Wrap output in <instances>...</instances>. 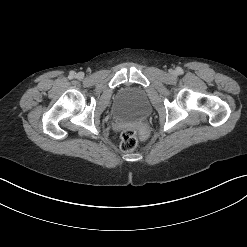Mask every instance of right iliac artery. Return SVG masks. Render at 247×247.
Here are the masks:
<instances>
[{
	"label": "right iliac artery",
	"mask_w": 247,
	"mask_h": 247,
	"mask_svg": "<svg viewBox=\"0 0 247 247\" xmlns=\"http://www.w3.org/2000/svg\"><path fill=\"white\" fill-rule=\"evenodd\" d=\"M74 76H75V72H73V71H72V72H70L69 77H70V78H73Z\"/></svg>",
	"instance_id": "obj_1"
}]
</instances>
